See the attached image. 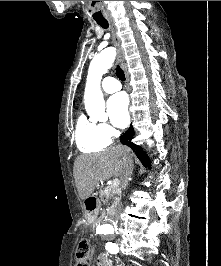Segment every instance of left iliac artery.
Wrapping results in <instances>:
<instances>
[{"mask_svg": "<svg viewBox=\"0 0 221 266\" xmlns=\"http://www.w3.org/2000/svg\"><path fill=\"white\" fill-rule=\"evenodd\" d=\"M99 234H105V233H99ZM106 250H108V252H110L111 254H116L119 251V247L115 243L107 242L106 243Z\"/></svg>", "mask_w": 221, "mask_h": 266, "instance_id": "44dca946", "label": "left iliac artery"}]
</instances>
